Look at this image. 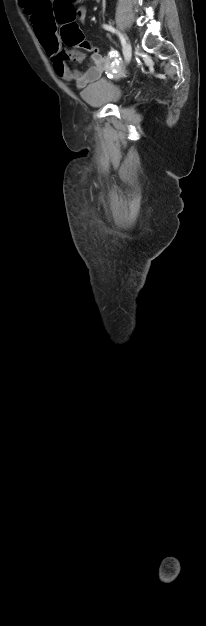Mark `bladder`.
I'll list each match as a JSON object with an SVG mask.
<instances>
[{"label": "bladder", "mask_w": 206, "mask_h": 626, "mask_svg": "<svg viewBox=\"0 0 206 626\" xmlns=\"http://www.w3.org/2000/svg\"><path fill=\"white\" fill-rule=\"evenodd\" d=\"M81 98L91 106L116 104L123 98V90L112 81L102 78L86 86L81 92Z\"/></svg>", "instance_id": "1"}]
</instances>
